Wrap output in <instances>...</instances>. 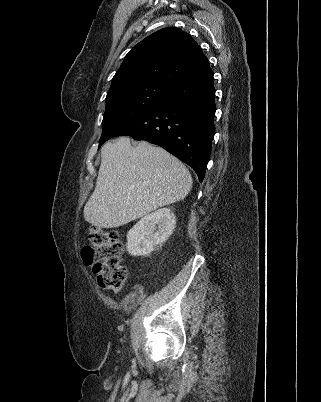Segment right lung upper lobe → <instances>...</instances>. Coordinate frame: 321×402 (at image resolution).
I'll use <instances>...</instances> for the list:
<instances>
[{
	"label": "right lung upper lobe",
	"instance_id": "obj_1",
	"mask_svg": "<svg viewBox=\"0 0 321 402\" xmlns=\"http://www.w3.org/2000/svg\"><path fill=\"white\" fill-rule=\"evenodd\" d=\"M209 66L192 37L175 27L161 29L134 46L112 79L108 95L150 83L171 86Z\"/></svg>",
	"mask_w": 321,
	"mask_h": 402
}]
</instances>
